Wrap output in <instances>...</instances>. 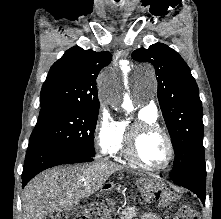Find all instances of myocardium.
<instances>
[{
  "label": "myocardium",
  "mask_w": 221,
  "mask_h": 219,
  "mask_svg": "<svg viewBox=\"0 0 221 219\" xmlns=\"http://www.w3.org/2000/svg\"><path fill=\"white\" fill-rule=\"evenodd\" d=\"M153 132L161 134L164 137L168 147L167 160L165 164L161 167H152L147 165L141 160L137 151L138 142L141 137L147 133ZM124 152L130 161H132L142 169L158 173L168 170L171 167L175 156L174 144L168 132H166V130H164L156 123L142 120L135 121L134 123L129 125L125 136Z\"/></svg>",
  "instance_id": "1"
}]
</instances>
